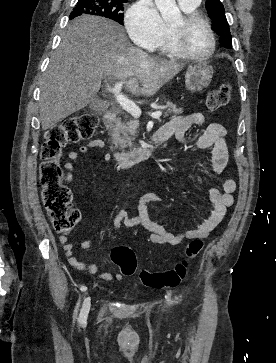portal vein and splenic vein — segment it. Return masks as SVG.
Returning <instances> with one entry per match:
<instances>
[{
    "mask_svg": "<svg viewBox=\"0 0 276 363\" xmlns=\"http://www.w3.org/2000/svg\"><path fill=\"white\" fill-rule=\"evenodd\" d=\"M124 85L123 81H119L115 83L114 87L111 88V92L114 94V97L118 104L128 113H130L133 117L138 118L141 116V109L127 97H125L121 93V89ZM152 118H160L162 116V111H156L153 113H149Z\"/></svg>",
    "mask_w": 276,
    "mask_h": 363,
    "instance_id": "18ae733b",
    "label": "portal vein and splenic vein"
}]
</instances>
